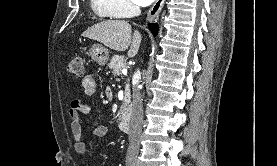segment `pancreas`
I'll list each match as a JSON object with an SVG mask.
<instances>
[{"mask_svg":"<svg viewBox=\"0 0 277 166\" xmlns=\"http://www.w3.org/2000/svg\"><path fill=\"white\" fill-rule=\"evenodd\" d=\"M110 70H112L113 74L119 76L121 74L122 69L126 67V59L124 56L115 55L112 57L110 63L108 64ZM125 103L122 106V113L128 114L130 111V106L128 103V98H125Z\"/></svg>","mask_w":277,"mask_h":166,"instance_id":"obj_1","label":"pancreas"}]
</instances>
